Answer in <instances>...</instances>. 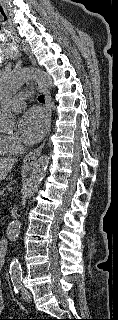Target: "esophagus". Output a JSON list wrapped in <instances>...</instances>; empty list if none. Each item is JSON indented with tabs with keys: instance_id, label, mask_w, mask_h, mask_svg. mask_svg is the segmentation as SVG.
Wrapping results in <instances>:
<instances>
[{
	"instance_id": "34e87169",
	"label": "esophagus",
	"mask_w": 118,
	"mask_h": 320,
	"mask_svg": "<svg viewBox=\"0 0 118 320\" xmlns=\"http://www.w3.org/2000/svg\"><path fill=\"white\" fill-rule=\"evenodd\" d=\"M23 49L28 54L29 58L31 59L32 64L35 65L36 60H35L34 56L32 55L29 47L27 45H24ZM35 86L45 96V106H46V109L48 112V117H49V129H48V133H49L50 126H51V115H52L51 95H50V92L48 91V89L43 84H41L39 81H35ZM45 142H46V139L39 147H37L36 149L31 151L30 153H28L24 157V159H23V167L24 168H31L36 164L37 159L40 156V154L44 148Z\"/></svg>"
}]
</instances>
